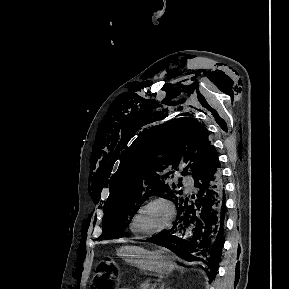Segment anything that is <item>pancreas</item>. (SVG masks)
I'll return each mask as SVG.
<instances>
[{"label": "pancreas", "instance_id": "1", "mask_svg": "<svg viewBox=\"0 0 289 289\" xmlns=\"http://www.w3.org/2000/svg\"><path fill=\"white\" fill-rule=\"evenodd\" d=\"M153 284H150L148 281L141 284L140 289H153ZM155 289V287H154Z\"/></svg>", "mask_w": 289, "mask_h": 289}]
</instances>
